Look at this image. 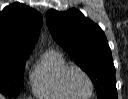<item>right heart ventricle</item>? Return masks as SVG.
I'll return each mask as SVG.
<instances>
[{
	"mask_svg": "<svg viewBox=\"0 0 128 99\" xmlns=\"http://www.w3.org/2000/svg\"><path fill=\"white\" fill-rule=\"evenodd\" d=\"M69 66L66 58L59 51H46L31 74L33 94L40 99H70L62 87L61 75Z\"/></svg>",
	"mask_w": 128,
	"mask_h": 99,
	"instance_id": "e07e8e85",
	"label": "right heart ventricle"
}]
</instances>
